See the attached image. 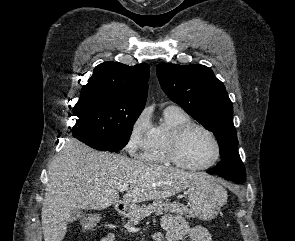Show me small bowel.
I'll return each mask as SVG.
<instances>
[{"instance_id": "obj_1", "label": "small bowel", "mask_w": 295, "mask_h": 241, "mask_svg": "<svg viewBox=\"0 0 295 241\" xmlns=\"http://www.w3.org/2000/svg\"><path fill=\"white\" fill-rule=\"evenodd\" d=\"M162 226L167 232L166 237L157 235L158 241H180L183 238H188L190 241H211V236L204 227L191 226L178 215H165L162 218ZM101 241H116V237L110 233Z\"/></svg>"}]
</instances>
